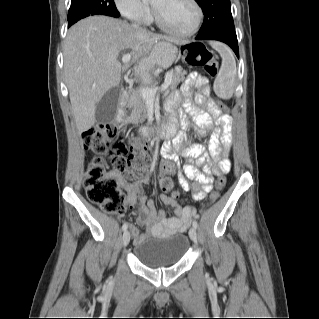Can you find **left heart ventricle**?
I'll use <instances>...</instances> for the list:
<instances>
[{
    "label": "left heart ventricle",
    "mask_w": 319,
    "mask_h": 319,
    "mask_svg": "<svg viewBox=\"0 0 319 319\" xmlns=\"http://www.w3.org/2000/svg\"><path fill=\"white\" fill-rule=\"evenodd\" d=\"M152 5L173 29L186 31L194 24L196 11L188 0H153Z\"/></svg>",
    "instance_id": "b2bd125f"
}]
</instances>
